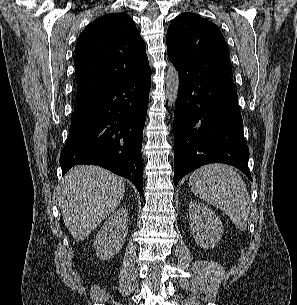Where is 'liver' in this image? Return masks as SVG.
Returning a JSON list of instances; mask_svg holds the SVG:
<instances>
[{
    "instance_id": "liver-1",
    "label": "liver",
    "mask_w": 297,
    "mask_h": 305,
    "mask_svg": "<svg viewBox=\"0 0 297 305\" xmlns=\"http://www.w3.org/2000/svg\"><path fill=\"white\" fill-rule=\"evenodd\" d=\"M58 203L64 224L77 241L89 234L120 205L122 178L94 165H78L63 178Z\"/></svg>"
}]
</instances>
